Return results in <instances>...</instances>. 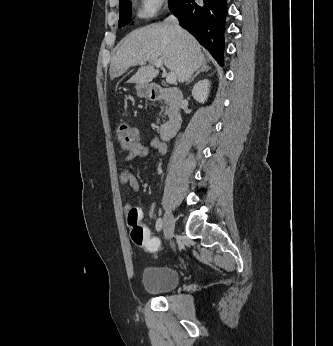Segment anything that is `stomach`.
<instances>
[{"label":"stomach","mask_w":333,"mask_h":346,"mask_svg":"<svg viewBox=\"0 0 333 346\" xmlns=\"http://www.w3.org/2000/svg\"><path fill=\"white\" fill-rule=\"evenodd\" d=\"M136 91H137V95L141 98H147L149 97L150 93H151V88L149 85H141V84H137L136 85Z\"/></svg>","instance_id":"0dacf381"}]
</instances>
